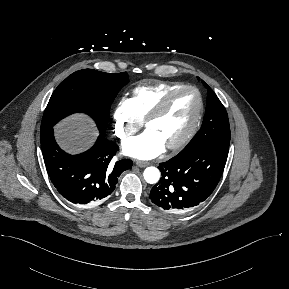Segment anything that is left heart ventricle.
Wrapping results in <instances>:
<instances>
[{
	"label": "left heart ventricle",
	"instance_id": "left-heart-ventricle-1",
	"mask_svg": "<svg viewBox=\"0 0 289 289\" xmlns=\"http://www.w3.org/2000/svg\"><path fill=\"white\" fill-rule=\"evenodd\" d=\"M198 109V97L193 91L178 94L165 113L150 123L147 130L168 146L180 140L190 128Z\"/></svg>",
	"mask_w": 289,
	"mask_h": 289
}]
</instances>
